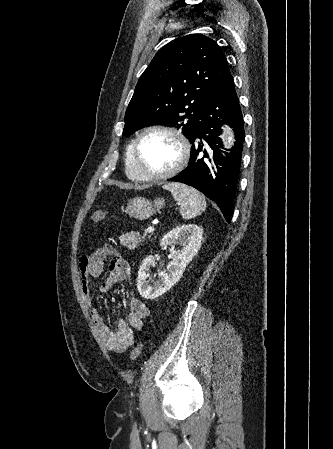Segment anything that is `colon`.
<instances>
[{
	"label": "colon",
	"mask_w": 333,
	"mask_h": 449,
	"mask_svg": "<svg viewBox=\"0 0 333 449\" xmlns=\"http://www.w3.org/2000/svg\"><path fill=\"white\" fill-rule=\"evenodd\" d=\"M106 216V212L104 210H97L92 214V221L95 223H98L100 221H102ZM142 348H143V344L142 343H137L131 350L130 352V358L131 360H136L141 352H142Z\"/></svg>",
	"instance_id": "obj_1"
}]
</instances>
